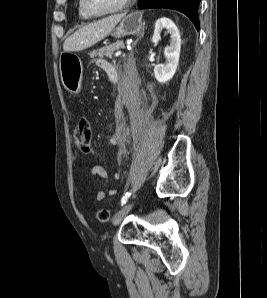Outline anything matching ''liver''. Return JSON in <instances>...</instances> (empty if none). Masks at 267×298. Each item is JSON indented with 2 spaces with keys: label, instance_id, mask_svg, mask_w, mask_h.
I'll return each mask as SVG.
<instances>
[{
  "label": "liver",
  "instance_id": "liver-1",
  "mask_svg": "<svg viewBox=\"0 0 267 298\" xmlns=\"http://www.w3.org/2000/svg\"><path fill=\"white\" fill-rule=\"evenodd\" d=\"M123 17L124 14L111 15L84 25L64 41L63 50L81 51L91 47L106 37Z\"/></svg>",
  "mask_w": 267,
  "mask_h": 298
}]
</instances>
